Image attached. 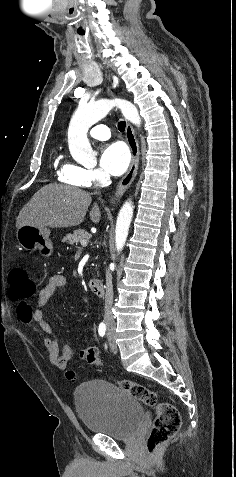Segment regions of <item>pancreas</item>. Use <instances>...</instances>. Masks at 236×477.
<instances>
[{"mask_svg":"<svg viewBox=\"0 0 236 477\" xmlns=\"http://www.w3.org/2000/svg\"><path fill=\"white\" fill-rule=\"evenodd\" d=\"M90 238V234L85 230L79 229L74 231L73 234H68L64 237L63 241L67 242L70 245L77 244L82 240H87Z\"/></svg>","mask_w":236,"mask_h":477,"instance_id":"1","label":"pancreas"}]
</instances>
